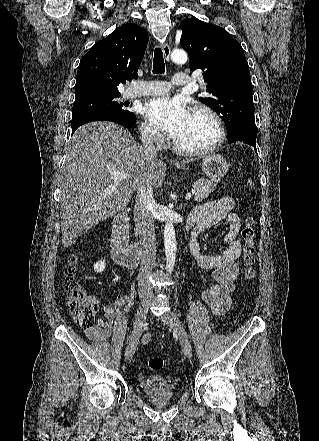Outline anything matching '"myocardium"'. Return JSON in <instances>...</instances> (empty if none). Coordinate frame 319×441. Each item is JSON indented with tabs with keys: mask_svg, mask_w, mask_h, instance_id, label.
Masks as SVG:
<instances>
[{
	"mask_svg": "<svg viewBox=\"0 0 319 441\" xmlns=\"http://www.w3.org/2000/svg\"><path fill=\"white\" fill-rule=\"evenodd\" d=\"M190 112L191 113H204L213 120V122L216 125V129H217L216 139L210 145L203 147V148H198V149L184 148V147L180 146L179 144H177L175 142V140L173 139L171 142L173 149L177 153L182 154V155H187V156H202V155L212 153L213 151L218 149L223 144V142L226 138V127H225L223 119L215 110H213L212 108H210L206 105H201V104L194 105L191 107Z\"/></svg>",
	"mask_w": 319,
	"mask_h": 441,
	"instance_id": "obj_1",
	"label": "myocardium"
}]
</instances>
